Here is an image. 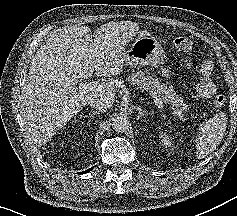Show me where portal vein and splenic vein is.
<instances>
[{"instance_id": "18ae733b", "label": "portal vein and splenic vein", "mask_w": 237, "mask_h": 216, "mask_svg": "<svg viewBox=\"0 0 237 216\" xmlns=\"http://www.w3.org/2000/svg\"><path fill=\"white\" fill-rule=\"evenodd\" d=\"M79 87H81V88H86V83H80V84H79Z\"/></svg>"}]
</instances>
